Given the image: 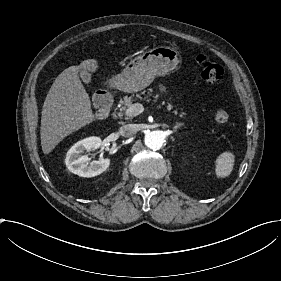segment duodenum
I'll list each match as a JSON object with an SVG mask.
<instances>
[{"mask_svg": "<svg viewBox=\"0 0 281 281\" xmlns=\"http://www.w3.org/2000/svg\"><path fill=\"white\" fill-rule=\"evenodd\" d=\"M97 102L100 106V113L101 115H106V113L109 111L111 106V98L107 94L99 95L97 98Z\"/></svg>", "mask_w": 281, "mask_h": 281, "instance_id": "obj_1", "label": "duodenum"}]
</instances>
